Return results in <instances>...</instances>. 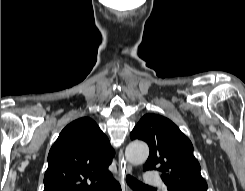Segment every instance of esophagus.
<instances>
[{
	"instance_id": "1",
	"label": "esophagus",
	"mask_w": 245,
	"mask_h": 191,
	"mask_svg": "<svg viewBox=\"0 0 245 191\" xmlns=\"http://www.w3.org/2000/svg\"><path fill=\"white\" fill-rule=\"evenodd\" d=\"M118 166L120 173L119 183L121 185L122 191H130V188L126 182V175L132 174V167L125 159L123 149H120L118 155Z\"/></svg>"
}]
</instances>
